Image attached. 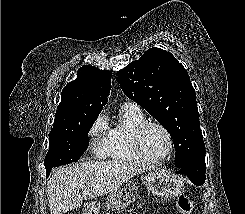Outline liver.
Listing matches in <instances>:
<instances>
[{
	"mask_svg": "<svg viewBox=\"0 0 245 214\" xmlns=\"http://www.w3.org/2000/svg\"><path fill=\"white\" fill-rule=\"evenodd\" d=\"M140 172L141 169L122 161H85L57 169L47 183L50 212L62 214L73 210L84 200L121 187Z\"/></svg>",
	"mask_w": 245,
	"mask_h": 214,
	"instance_id": "6515ba94",
	"label": "liver"
}]
</instances>
